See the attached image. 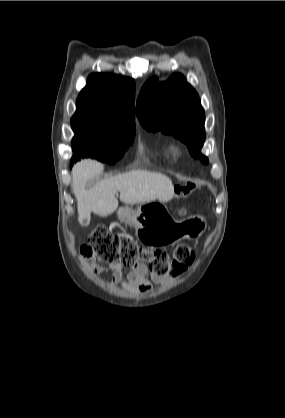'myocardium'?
<instances>
[{"label": "myocardium", "mask_w": 285, "mask_h": 418, "mask_svg": "<svg viewBox=\"0 0 285 418\" xmlns=\"http://www.w3.org/2000/svg\"><path fill=\"white\" fill-rule=\"evenodd\" d=\"M170 148L173 154H178L180 152V145L177 142L172 143Z\"/></svg>", "instance_id": "myocardium-1"}]
</instances>
